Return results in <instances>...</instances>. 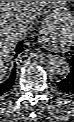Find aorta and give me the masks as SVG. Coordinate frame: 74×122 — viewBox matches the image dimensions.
<instances>
[{
  "mask_svg": "<svg viewBox=\"0 0 74 122\" xmlns=\"http://www.w3.org/2000/svg\"><path fill=\"white\" fill-rule=\"evenodd\" d=\"M47 69L55 75H66L70 72V64L60 55H49L46 59Z\"/></svg>",
  "mask_w": 74,
  "mask_h": 122,
  "instance_id": "obj_1",
  "label": "aorta"
}]
</instances>
